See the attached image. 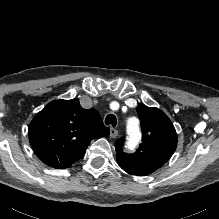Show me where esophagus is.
<instances>
[{"mask_svg": "<svg viewBox=\"0 0 219 219\" xmlns=\"http://www.w3.org/2000/svg\"><path fill=\"white\" fill-rule=\"evenodd\" d=\"M117 136H118V131H117V129L111 127V128H110V137H111V138H116Z\"/></svg>", "mask_w": 219, "mask_h": 219, "instance_id": "esophagus-1", "label": "esophagus"}]
</instances>
